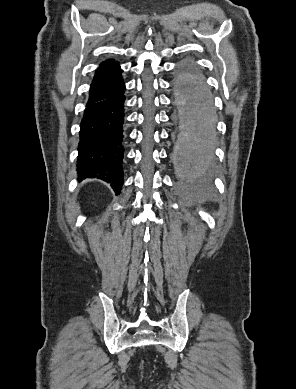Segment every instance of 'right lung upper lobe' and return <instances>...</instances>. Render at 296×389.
I'll return each mask as SVG.
<instances>
[{
	"mask_svg": "<svg viewBox=\"0 0 296 389\" xmlns=\"http://www.w3.org/2000/svg\"><path fill=\"white\" fill-rule=\"evenodd\" d=\"M122 69L119 62L107 60L100 64L96 70L94 79L90 86L88 102L103 98L114 93L123 86Z\"/></svg>",
	"mask_w": 296,
	"mask_h": 389,
	"instance_id": "right-lung-upper-lobe-1",
	"label": "right lung upper lobe"
}]
</instances>
